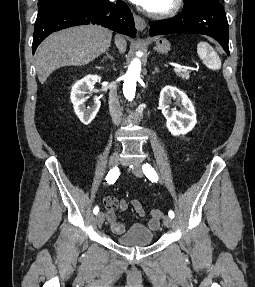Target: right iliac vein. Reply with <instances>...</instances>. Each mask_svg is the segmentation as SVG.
I'll use <instances>...</instances> for the list:
<instances>
[{
	"instance_id": "1",
	"label": "right iliac vein",
	"mask_w": 255,
	"mask_h": 287,
	"mask_svg": "<svg viewBox=\"0 0 255 287\" xmlns=\"http://www.w3.org/2000/svg\"><path fill=\"white\" fill-rule=\"evenodd\" d=\"M119 159H120V153L119 151H115L109 159V165L110 167L114 168L119 164ZM104 222V214L103 212H99L96 216V223L98 226H101Z\"/></svg>"
}]
</instances>
